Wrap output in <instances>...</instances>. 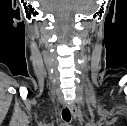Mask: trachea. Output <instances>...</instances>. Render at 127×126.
Segmentation results:
<instances>
[{
	"label": "trachea",
	"instance_id": "trachea-1",
	"mask_svg": "<svg viewBox=\"0 0 127 126\" xmlns=\"http://www.w3.org/2000/svg\"><path fill=\"white\" fill-rule=\"evenodd\" d=\"M62 118L66 121L69 122L71 119V114L68 108L63 109L62 111Z\"/></svg>",
	"mask_w": 127,
	"mask_h": 126
}]
</instances>
